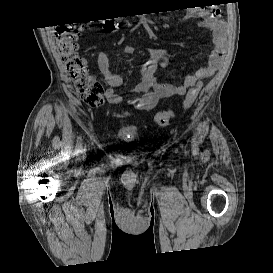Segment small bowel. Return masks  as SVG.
Here are the masks:
<instances>
[{"mask_svg":"<svg viewBox=\"0 0 273 273\" xmlns=\"http://www.w3.org/2000/svg\"><path fill=\"white\" fill-rule=\"evenodd\" d=\"M185 18H201L203 26L212 33L213 50L207 64L194 74L186 76L180 85L160 83L156 72L158 68L167 69L169 67V50L164 47L149 48L147 49L148 59L141 66V80L132 90L136 96L124 99L116 92V88L123 83L122 76L112 71L107 55L99 52L97 65L108 84L104 97L109 103L126 104L139 110H153L161 99L185 95L199 80L212 76L219 69L226 53L227 27L225 22L219 18L218 9H190ZM124 51L133 53L135 49L127 45Z\"/></svg>","mask_w":273,"mask_h":273,"instance_id":"obj_1","label":"small bowel"}]
</instances>
